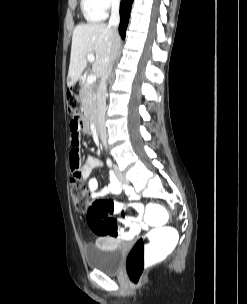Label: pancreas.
<instances>
[{
	"instance_id": "1",
	"label": "pancreas",
	"mask_w": 247,
	"mask_h": 304,
	"mask_svg": "<svg viewBox=\"0 0 247 304\" xmlns=\"http://www.w3.org/2000/svg\"><path fill=\"white\" fill-rule=\"evenodd\" d=\"M82 85L86 86V89H80L79 92L82 110L85 115L92 116L96 110V93L87 82H84Z\"/></svg>"
}]
</instances>
